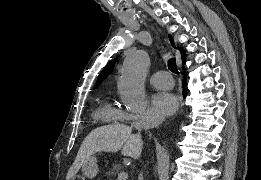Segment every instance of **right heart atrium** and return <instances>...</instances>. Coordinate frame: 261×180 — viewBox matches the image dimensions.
I'll return each mask as SVG.
<instances>
[{"label":"right heart atrium","instance_id":"obj_1","mask_svg":"<svg viewBox=\"0 0 261 180\" xmlns=\"http://www.w3.org/2000/svg\"><path fill=\"white\" fill-rule=\"evenodd\" d=\"M124 120L127 121L130 124V127H144L143 122H141L138 118L130 115V114H124L123 116ZM146 116L144 115V120L145 121Z\"/></svg>","mask_w":261,"mask_h":180}]
</instances>
